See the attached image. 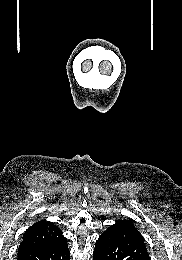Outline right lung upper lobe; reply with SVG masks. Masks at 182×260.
<instances>
[{"mask_svg":"<svg viewBox=\"0 0 182 260\" xmlns=\"http://www.w3.org/2000/svg\"><path fill=\"white\" fill-rule=\"evenodd\" d=\"M65 239L57 226H53L51 222L42 220L34 223L25 231L23 241L18 248V253L55 244Z\"/></svg>","mask_w":182,"mask_h":260,"instance_id":"1","label":"right lung upper lobe"}]
</instances>
